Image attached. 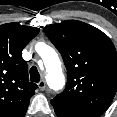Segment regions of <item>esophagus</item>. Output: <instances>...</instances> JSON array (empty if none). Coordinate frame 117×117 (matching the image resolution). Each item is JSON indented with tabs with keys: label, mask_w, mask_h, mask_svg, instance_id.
I'll list each match as a JSON object with an SVG mask.
<instances>
[{
	"label": "esophagus",
	"mask_w": 117,
	"mask_h": 117,
	"mask_svg": "<svg viewBox=\"0 0 117 117\" xmlns=\"http://www.w3.org/2000/svg\"><path fill=\"white\" fill-rule=\"evenodd\" d=\"M38 87L41 91L45 90L46 88V82L45 80H41L39 83H38Z\"/></svg>",
	"instance_id": "obj_1"
}]
</instances>
